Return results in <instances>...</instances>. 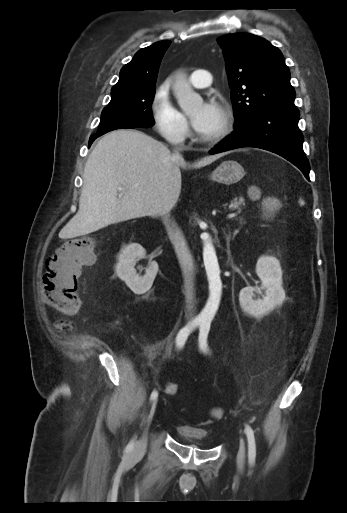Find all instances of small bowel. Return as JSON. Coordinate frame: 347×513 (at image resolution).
<instances>
[{
  "mask_svg": "<svg viewBox=\"0 0 347 513\" xmlns=\"http://www.w3.org/2000/svg\"><path fill=\"white\" fill-rule=\"evenodd\" d=\"M57 324L60 327V329L63 330L64 332H69L73 328L71 323L68 322L67 320H59ZM162 350H163L162 342L156 343V344L148 346L146 348V352L153 359L161 356Z\"/></svg>",
  "mask_w": 347,
  "mask_h": 513,
  "instance_id": "obj_1",
  "label": "small bowel"
}]
</instances>
